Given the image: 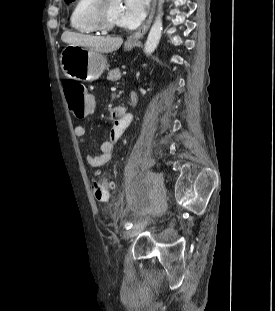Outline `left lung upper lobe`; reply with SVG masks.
Instances as JSON below:
<instances>
[{
	"label": "left lung upper lobe",
	"mask_w": 275,
	"mask_h": 311,
	"mask_svg": "<svg viewBox=\"0 0 275 311\" xmlns=\"http://www.w3.org/2000/svg\"><path fill=\"white\" fill-rule=\"evenodd\" d=\"M72 1H74V0H65V2H67V3L72 2Z\"/></svg>",
	"instance_id": "left-lung-upper-lobe-1"
}]
</instances>
